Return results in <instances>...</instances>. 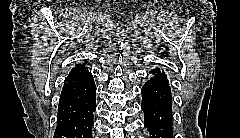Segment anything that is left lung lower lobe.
<instances>
[{
  "mask_svg": "<svg viewBox=\"0 0 240 138\" xmlns=\"http://www.w3.org/2000/svg\"><path fill=\"white\" fill-rule=\"evenodd\" d=\"M153 75L142 87L141 108L145 116V127L150 138H172L171 91L164 71H150Z\"/></svg>",
  "mask_w": 240,
  "mask_h": 138,
  "instance_id": "obj_1",
  "label": "left lung lower lobe"
}]
</instances>
